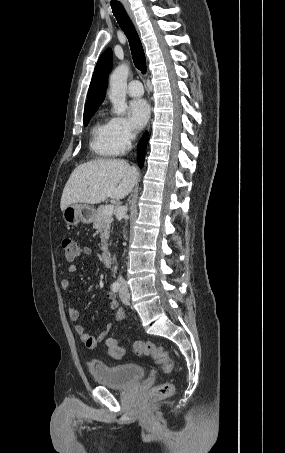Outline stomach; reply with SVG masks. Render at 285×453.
<instances>
[{"label": "stomach", "instance_id": "0dacf381", "mask_svg": "<svg viewBox=\"0 0 285 453\" xmlns=\"http://www.w3.org/2000/svg\"><path fill=\"white\" fill-rule=\"evenodd\" d=\"M95 209L87 204H72L67 206L62 217L67 226H76L79 222L89 224L93 221Z\"/></svg>", "mask_w": 285, "mask_h": 453}]
</instances>
